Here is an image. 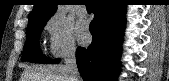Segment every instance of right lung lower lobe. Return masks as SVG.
<instances>
[{"label": "right lung lower lobe", "instance_id": "1", "mask_svg": "<svg viewBox=\"0 0 169 81\" xmlns=\"http://www.w3.org/2000/svg\"><path fill=\"white\" fill-rule=\"evenodd\" d=\"M125 6L116 0H97L90 24L93 41L77 48L78 70L84 81H115L119 73ZM60 60H51L57 64Z\"/></svg>", "mask_w": 169, "mask_h": 81}]
</instances>
